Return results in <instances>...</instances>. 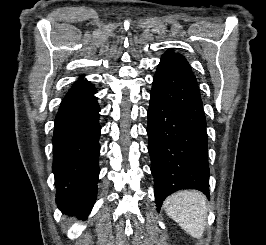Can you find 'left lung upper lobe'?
<instances>
[{"mask_svg": "<svg viewBox=\"0 0 266 245\" xmlns=\"http://www.w3.org/2000/svg\"><path fill=\"white\" fill-rule=\"evenodd\" d=\"M162 57L163 58H172V59L181 61V62L185 63L189 67V64L186 61V59L182 55L174 53L172 50H168Z\"/></svg>", "mask_w": 266, "mask_h": 245, "instance_id": "5c2ea615", "label": "left lung upper lobe"}]
</instances>
